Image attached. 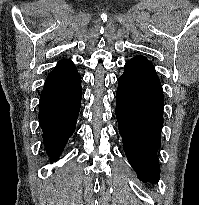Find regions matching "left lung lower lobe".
Wrapping results in <instances>:
<instances>
[{
	"instance_id": "obj_1",
	"label": "left lung lower lobe",
	"mask_w": 199,
	"mask_h": 205,
	"mask_svg": "<svg viewBox=\"0 0 199 205\" xmlns=\"http://www.w3.org/2000/svg\"><path fill=\"white\" fill-rule=\"evenodd\" d=\"M163 90L153 64L135 56L118 79L116 117L127 159L142 181H159Z\"/></svg>"
}]
</instances>
